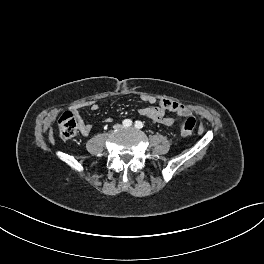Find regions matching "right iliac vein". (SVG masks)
<instances>
[{
  "label": "right iliac vein",
  "mask_w": 264,
  "mask_h": 264,
  "mask_svg": "<svg viewBox=\"0 0 264 264\" xmlns=\"http://www.w3.org/2000/svg\"><path fill=\"white\" fill-rule=\"evenodd\" d=\"M114 129H116V130L122 129V125L116 124V125H114Z\"/></svg>",
  "instance_id": "63e3f726"
}]
</instances>
